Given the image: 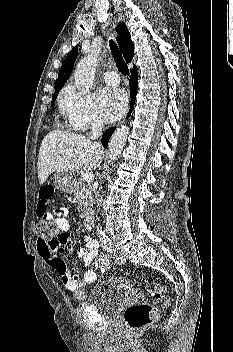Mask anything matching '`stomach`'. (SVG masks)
<instances>
[{"mask_svg": "<svg viewBox=\"0 0 233 352\" xmlns=\"http://www.w3.org/2000/svg\"><path fill=\"white\" fill-rule=\"evenodd\" d=\"M73 177L70 173L57 172L55 174V185L58 189L71 193L73 191Z\"/></svg>", "mask_w": 233, "mask_h": 352, "instance_id": "1", "label": "stomach"}]
</instances>
